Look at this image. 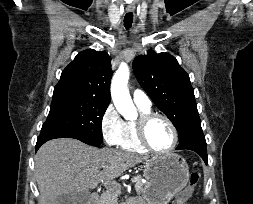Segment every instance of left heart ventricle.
<instances>
[{"label": "left heart ventricle", "mask_w": 253, "mask_h": 204, "mask_svg": "<svg viewBox=\"0 0 253 204\" xmlns=\"http://www.w3.org/2000/svg\"><path fill=\"white\" fill-rule=\"evenodd\" d=\"M150 144L158 150L168 149L173 142V134L169 125L162 119L153 120L147 128Z\"/></svg>", "instance_id": "left-heart-ventricle-1"}]
</instances>
